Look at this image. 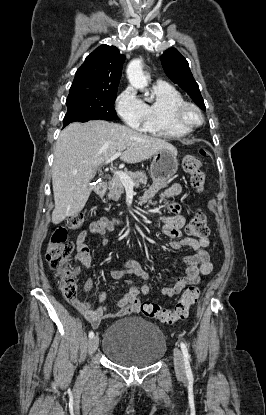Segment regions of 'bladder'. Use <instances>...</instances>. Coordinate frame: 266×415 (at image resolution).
<instances>
[{
  "instance_id": "31cf9c89",
  "label": "bladder",
  "mask_w": 266,
  "mask_h": 415,
  "mask_svg": "<svg viewBox=\"0 0 266 415\" xmlns=\"http://www.w3.org/2000/svg\"><path fill=\"white\" fill-rule=\"evenodd\" d=\"M102 351L109 360L120 366L148 367L164 356L166 338L154 323L142 317H127L108 326Z\"/></svg>"
}]
</instances>
